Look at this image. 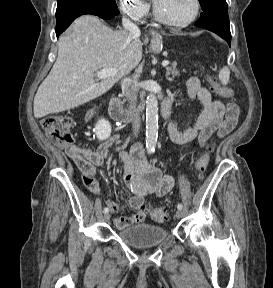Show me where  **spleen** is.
Wrapping results in <instances>:
<instances>
[{"mask_svg":"<svg viewBox=\"0 0 273 288\" xmlns=\"http://www.w3.org/2000/svg\"><path fill=\"white\" fill-rule=\"evenodd\" d=\"M219 80L222 85H227L230 78V70L228 67H223L219 72Z\"/></svg>","mask_w":273,"mask_h":288,"instance_id":"3e777b00","label":"spleen"}]
</instances>
